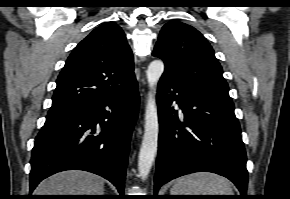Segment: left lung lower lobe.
<instances>
[{
  "label": "left lung lower lobe",
  "instance_id": "0a47b994",
  "mask_svg": "<svg viewBox=\"0 0 290 199\" xmlns=\"http://www.w3.org/2000/svg\"><path fill=\"white\" fill-rule=\"evenodd\" d=\"M174 101L180 113L171 106ZM157 103L155 194L172 179L204 171L227 177L246 198L247 158L232 100L162 75Z\"/></svg>",
  "mask_w": 290,
  "mask_h": 199
}]
</instances>
